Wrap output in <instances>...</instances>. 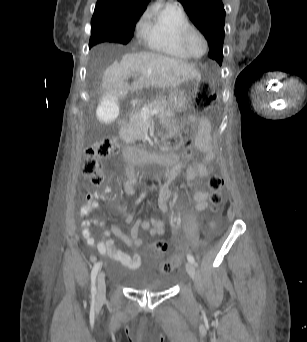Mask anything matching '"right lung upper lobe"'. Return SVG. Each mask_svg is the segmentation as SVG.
<instances>
[{
    "instance_id": "obj_1",
    "label": "right lung upper lobe",
    "mask_w": 307,
    "mask_h": 342,
    "mask_svg": "<svg viewBox=\"0 0 307 342\" xmlns=\"http://www.w3.org/2000/svg\"><path fill=\"white\" fill-rule=\"evenodd\" d=\"M150 0H98L91 19L92 28L133 32Z\"/></svg>"
}]
</instances>
